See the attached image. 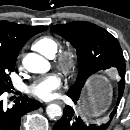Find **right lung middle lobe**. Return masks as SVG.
<instances>
[{
    "label": "right lung middle lobe",
    "instance_id": "obj_1",
    "mask_svg": "<svg viewBox=\"0 0 130 130\" xmlns=\"http://www.w3.org/2000/svg\"><path fill=\"white\" fill-rule=\"evenodd\" d=\"M17 55L0 48V90H9V74L14 71Z\"/></svg>",
    "mask_w": 130,
    "mask_h": 130
}]
</instances>
